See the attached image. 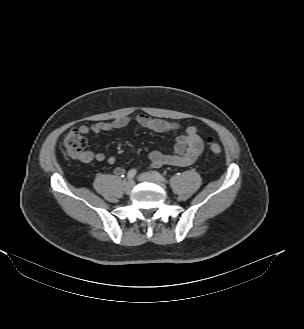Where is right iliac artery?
Segmentation results:
<instances>
[{"label": "right iliac artery", "mask_w": 304, "mask_h": 329, "mask_svg": "<svg viewBox=\"0 0 304 329\" xmlns=\"http://www.w3.org/2000/svg\"><path fill=\"white\" fill-rule=\"evenodd\" d=\"M136 173H137V170H136V169H131V170L128 172V174H127V178H128L129 180L133 179V178L135 177Z\"/></svg>", "instance_id": "1"}]
</instances>
